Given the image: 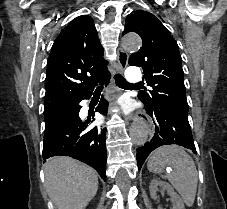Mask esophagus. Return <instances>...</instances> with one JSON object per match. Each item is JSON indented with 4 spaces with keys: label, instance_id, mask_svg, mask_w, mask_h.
Listing matches in <instances>:
<instances>
[{
    "label": "esophagus",
    "instance_id": "esophagus-1",
    "mask_svg": "<svg viewBox=\"0 0 227 209\" xmlns=\"http://www.w3.org/2000/svg\"><path fill=\"white\" fill-rule=\"evenodd\" d=\"M129 54L125 52L122 48L117 50V60L119 63V72L123 73L128 65ZM135 119L137 121H142L143 127H147V141L151 142L152 138L155 137L156 124H152V117L149 116L148 112H137Z\"/></svg>",
    "mask_w": 227,
    "mask_h": 209
}]
</instances>
